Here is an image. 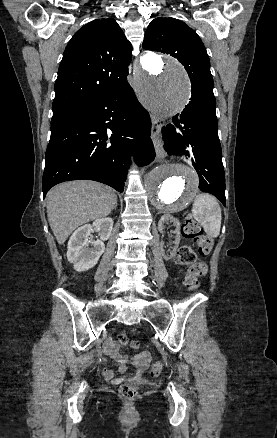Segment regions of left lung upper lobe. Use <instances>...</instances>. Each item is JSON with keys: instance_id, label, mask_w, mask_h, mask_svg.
I'll return each mask as SVG.
<instances>
[{"instance_id": "left-lung-upper-lobe-1", "label": "left lung upper lobe", "mask_w": 277, "mask_h": 438, "mask_svg": "<svg viewBox=\"0 0 277 438\" xmlns=\"http://www.w3.org/2000/svg\"><path fill=\"white\" fill-rule=\"evenodd\" d=\"M143 48L158 51L178 59L191 80V100H210L213 79L206 49L196 32L175 18H156L145 33Z\"/></svg>"}]
</instances>
